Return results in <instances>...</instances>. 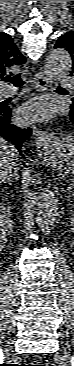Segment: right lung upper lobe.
Returning <instances> with one entry per match:
<instances>
[{
  "mask_svg": "<svg viewBox=\"0 0 74 366\" xmlns=\"http://www.w3.org/2000/svg\"><path fill=\"white\" fill-rule=\"evenodd\" d=\"M25 57L18 51L9 34L0 32V80L15 65L23 64Z\"/></svg>",
  "mask_w": 74,
  "mask_h": 366,
  "instance_id": "right-lung-upper-lobe-1",
  "label": "right lung upper lobe"
}]
</instances>
